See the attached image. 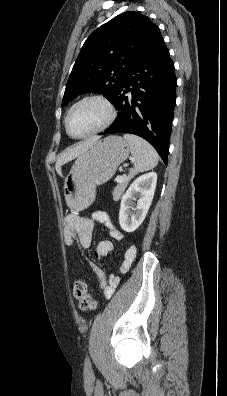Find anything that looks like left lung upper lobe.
<instances>
[{
  "instance_id": "obj_1",
  "label": "left lung upper lobe",
  "mask_w": 227,
  "mask_h": 396,
  "mask_svg": "<svg viewBox=\"0 0 227 396\" xmlns=\"http://www.w3.org/2000/svg\"><path fill=\"white\" fill-rule=\"evenodd\" d=\"M162 38L159 28L139 12L117 15L85 41L69 76L62 106L86 92L115 100L131 68Z\"/></svg>"
}]
</instances>
